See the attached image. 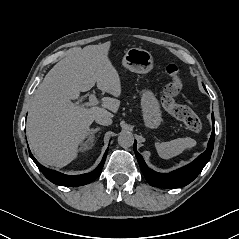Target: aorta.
Listing matches in <instances>:
<instances>
[{"label": "aorta", "instance_id": "1", "mask_svg": "<svg viewBox=\"0 0 239 239\" xmlns=\"http://www.w3.org/2000/svg\"><path fill=\"white\" fill-rule=\"evenodd\" d=\"M134 143V136L131 132H121L118 136V144L123 148H129Z\"/></svg>", "mask_w": 239, "mask_h": 239}]
</instances>
